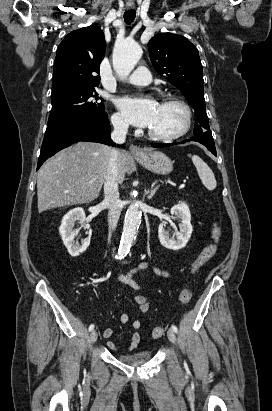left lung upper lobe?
<instances>
[{"mask_svg": "<svg viewBox=\"0 0 272 411\" xmlns=\"http://www.w3.org/2000/svg\"><path fill=\"white\" fill-rule=\"evenodd\" d=\"M148 50L155 70L181 90L195 110L194 134L211 132L205 110L203 68L197 48L181 35L160 33L149 41Z\"/></svg>", "mask_w": 272, "mask_h": 411, "instance_id": "left-lung-upper-lobe-1", "label": "left lung upper lobe"}]
</instances>
